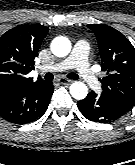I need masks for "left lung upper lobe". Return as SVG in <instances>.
Returning <instances> with one entry per match:
<instances>
[{
    "label": "left lung upper lobe",
    "instance_id": "1",
    "mask_svg": "<svg viewBox=\"0 0 135 165\" xmlns=\"http://www.w3.org/2000/svg\"><path fill=\"white\" fill-rule=\"evenodd\" d=\"M96 35L102 70L106 76L102 83V95L110 98L128 112L135 104V48L118 30L105 24H89Z\"/></svg>",
    "mask_w": 135,
    "mask_h": 165
}]
</instances>
